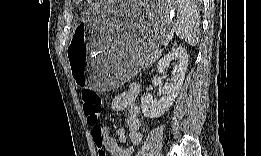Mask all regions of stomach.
Here are the masks:
<instances>
[{
  "instance_id": "1",
  "label": "stomach",
  "mask_w": 261,
  "mask_h": 156,
  "mask_svg": "<svg viewBox=\"0 0 261 156\" xmlns=\"http://www.w3.org/2000/svg\"><path fill=\"white\" fill-rule=\"evenodd\" d=\"M170 12L162 2L107 1L91 9L67 51L75 84L104 91L131 79L164 41Z\"/></svg>"
}]
</instances>
